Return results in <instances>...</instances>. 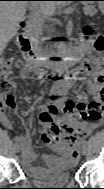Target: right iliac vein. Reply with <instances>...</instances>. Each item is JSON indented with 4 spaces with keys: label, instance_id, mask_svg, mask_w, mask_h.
Segmentation results:
<instances>
[{
    "label": "right iliac vein",
    "instance_id": "obj_1",
    "mask_svg": "<svg viewBox=\"0 0 104 189\" xmlns=\"http://www.w3.org/2000/svg\"><path fill=\"white\" fill-rule=\"evenodd\" d=\"M14 151L17 153L21 151V148L18 144L14 145Z\"/></svg>",
    "mask_w": 104,
    "mask_h": 189
}]
</instances>
